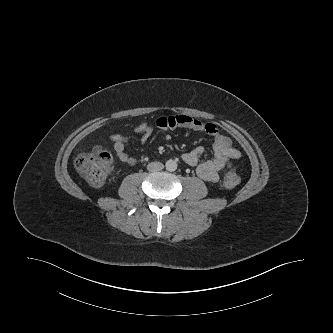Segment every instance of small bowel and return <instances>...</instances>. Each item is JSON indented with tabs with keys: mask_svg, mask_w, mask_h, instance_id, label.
<instances>
[{
	"mask_svg": "<svg viewBox=\"0 0 333 333\" xmlns=\"http://www.w3.org/2000/svg\"><path fill=\"white\" fill-rule=\"evenodd\" d=\"M158 128L162 130H171L178 127H184L193 131H198L207 134L214 141L213 158L198 164L200 157L204 155L203 147H196L191 151L183 154V161L190 166H197V175L207 182H217L220 172L229 168L231 161L240 157V152L232 146L229 138L222 135L217 127L213 124L204 123L198 119L187 115L178 116H162L156 122ZM153 132L152 127L147 123L140 124L135 133L138 136V141L141 145L145 144L151 137ZM170 138L169 135L166 136ZM113 149L116 157L128 165H135L136 159L131 157L126 150L129 138L121 134H113L111 136Z\"/></svg>",
	"mask_w": 333,
	"mask_h": 333,
	"instance_id": "1",
	"label": "small bowel"
}]
</instances>
